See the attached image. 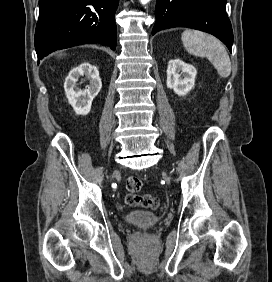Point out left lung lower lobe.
<instances>
[{
    "label": "left lung lower lobe",
    "mask_w": 272,
    "mask_h": 282,
    "mask_svg": "<svg viewBox=\"0 0 272 282\" xmlns=\"http://www.w3.org/2000/svg\"><path fill=\"white\" fill-rule=\"evenodd\" d=\"M227 0H157L152 34L188 27L213 34L232 51L233 32L225 11Z\"/></svg>",
    "instance_id": "left-lung-lower-lobe-1"
}]
</instances>
